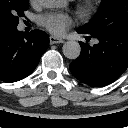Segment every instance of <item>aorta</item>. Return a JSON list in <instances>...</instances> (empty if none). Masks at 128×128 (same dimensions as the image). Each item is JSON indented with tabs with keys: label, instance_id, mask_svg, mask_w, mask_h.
Instances as JSON below:
<instances>
[{
	"label": "aorta",
	"instance_id": "762f6f07",
	"mask_svg": "<svg viewBox=\"0 0 128 128\" xmlns=\"http://www.w3.org/2000/svg\"><path fill=\"white\" fill-rule=\"evenodd\" d=\"M45 8H60L65 5V0H39ZM63 54L68 59H77L81 53L80 44L77 41H67L62 48Z\"/></svg>",
	"mask_w": 128,
	"mask_h": 128
}]
</instances>
